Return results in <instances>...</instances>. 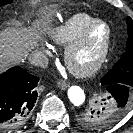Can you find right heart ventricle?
Masks as SVG:
<instances>
[{
  "instance_id": "right-heart-ventricle-1",
  "label": "right heart ventricle",
  "mask_w": 133,
  "mask_h": 133,
  "mask_svg": "<svg viewBox=\"0 0 133 133\" xmlns=\"http://www.w3.org/2000/svg\"><path fill=\"white\" fill-rule=\"evenodd\" d=\"M93 19L95 18L87 13L73 14L54 27L49 33V38L56 45L67 46Z\"/></svg>"
}]
</instances>
